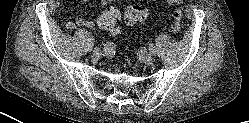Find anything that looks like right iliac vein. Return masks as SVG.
Here are the masks:
<instances>
[{"instance_id": "right-iliac-vein-1", "label": "right iliac vein", "mask_w": 249, "mask_h": 123, "mask_svg": "<svg viewBox=\"0 0 249 123\" xmlns=\"http://www.w3.org/2000/svg\"><path fill=\"white\" fill-rule=\"evenodd\" d=\"M92 54L94 57H100L101 56V50L100 48H94L92 51Z\"/></svg>"}]
</instances>
